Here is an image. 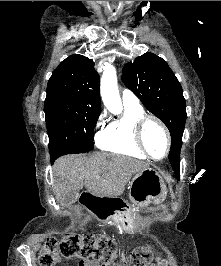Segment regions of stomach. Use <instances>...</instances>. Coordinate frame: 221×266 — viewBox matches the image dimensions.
<instances>
[{
	"label": "stomach",
	"instance_id": "0dacf381",
	"mask_svg": "<svg viewBox=\"0 0 221 266\" xmlns=\"http://www.w3.org/2000/svg\"><path fill=\"white\" fill-rule=\"evenodd\" d=\"M128 195L134 207L159 205L167 196V187L159 172L148 167L133 176L128 185ZM118 217L131 226L136 225L137 216L133 209L118 212Z\"/></svg>",
	"mask_w": 221,
	"mask_h": 266
}]
</instances>
